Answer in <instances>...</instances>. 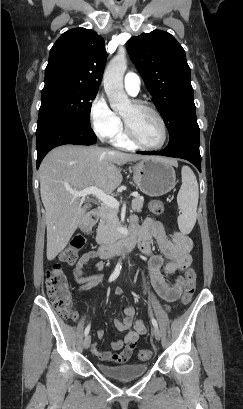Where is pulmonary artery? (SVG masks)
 <instances>
[{"label":"pulmonary artery","instance_id":"obj_1","mask_svg":"<svg viewBox=\"0 0 243 409\" xmlns=\"http://www.w3.org/2000/svg\"><path fill=\"white\" fill-rule=\"evenodd\" d=\"M141 80L138 74L134 72H128L124 77V87L126 91L135 96L140 91Z\"/></svg>","mask_w":243,"mask_h":409}]
</instances>
